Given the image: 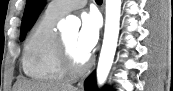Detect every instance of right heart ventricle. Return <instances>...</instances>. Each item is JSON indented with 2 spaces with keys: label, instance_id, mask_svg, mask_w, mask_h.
<instances>
[{
  "label": "right heart ventricle",
  "instance_id": "right-heart-ventricle-1",
  "mask_svg": "<svg viewBox=\"0 0 173 91\" xmlns=\"http://www.w3.org/2000/svg\"><path fill=\"white\" fill-rule=\"evenodd\" d=\"M62 16L47 10L32 28L24 46V73L36 80L57 83L67 78L59 62V33L56 23Z\"/></svg>",
  "mask_w": 173,
  "mask_h": 91
}]
</instances>
